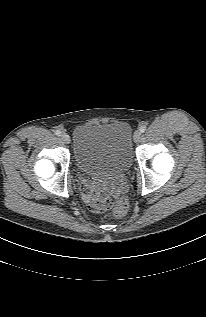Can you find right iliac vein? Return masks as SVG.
Here are the masks:
<instances>
[{"instance_id": "63e3f726", "label": "right iliac vein", "mask_w": 206, "mask_h": 317, "mask_svg": "<svg viewBox=\"0 0 206 317\" xmlns=\"http://www.w3.org/2000/svg\"><path fill=\"white\" fill-rule=\"evenodd\" d=\"M61 139L65 142V143H70V137H69V135L68 134H66V133H62L61 134Z\"/></svg>"}]
</instances>
